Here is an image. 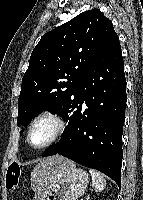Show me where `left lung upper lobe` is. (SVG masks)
<instances>
[{
    "instance_id": "5c2ea615",
    "label": "left lung upper lobe",
    "mask_w": 143,
    "mask_h": 200,
    "mask_svg": "<svg viewBox=\"0 0 143 200\" xmlns=\"http://www.w3.org/2000/svg\"><path fill=\"white\" fill-rule=\"evenodd\" d=\"M116 35L112 22L98 9L43 35L22 79L17 125L26 126L43 110L68 121L79 79Z\"/></svg>"
}]
</instances>
